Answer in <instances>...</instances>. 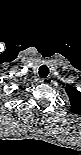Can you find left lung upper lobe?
<instances>
[{
  "instance_id": "5c2ea615",
  "label": "left lung upper lobe",
  "mask_w": 81,
  "mask_h": 155,
  "mask_svg": "<svg viewBox=\"0 0 81 155\" xmlns=\"http://www.w3.org/2000/svg\"><path fill=\"white\" fill-rule=\"evenodd\" d=\"M65 90L69 96L71 112L76 114L81 112V93L71 85H67Z\"/></svg>"
}]
</instances>
